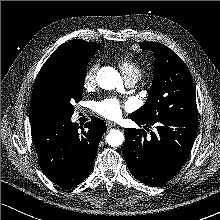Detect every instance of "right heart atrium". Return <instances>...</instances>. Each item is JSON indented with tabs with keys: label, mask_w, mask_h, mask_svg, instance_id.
<instances>
[{
	"label": "right heart atrium",
	"mask_w": 220,
	"mask_h": 220,
	"mask_svg": "<svg viewBox=\"0 0 220 220\" xmlns=\"http://www.w3.org/2000/svg\"><path fill=\"white\" fill-rule=\"evenodd\" d=\"M98 67H99V64L95 62L91 64L85 71L84 76H83V86L85 88H88L95 83Z\"/></svg>",
	"instance_id": "d8ad5b80"
}]
</instances>
